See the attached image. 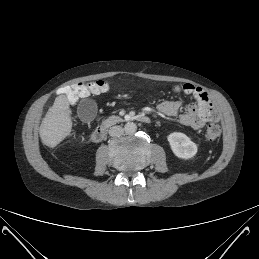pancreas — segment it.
Instances as JSON below:
<instances>
[{"instance_id": "cf45deb5", "label": "pancreas", "mask_w": 259, "mask_h": 259, "mask_svg": "<svg viewBox=\"0 0 259 259\" xmlns=\"http://www.w3.org/2000/svg\"><path fill=\"white\" fill-rule=\"evenodd\" d=\"M121 121H122V119L119 116L113 115V116H110L107 119L103 120L102 123L105 126H109V125H113V124H116Z\"/></svg>"}]
</instances>
